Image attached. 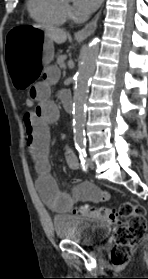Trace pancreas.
Wrapping results in <instances>:
<instances>
[{
    "instance_id": "1",
    "label": "pancreas",
    "mask_w": 148,
    "mask_h": 279,
    "mask_svg": "<svg viewBox=\"0 0 148 279\" xmlns=\"http://www.w3.org/2000/svg\"><path fill=\"white\" fill-rule=\"evenodd\" d=\"M65 59H66V55H60L57 58V64L59 65V67H63L64 66Z\"/></svg>"
}]
</instances>
